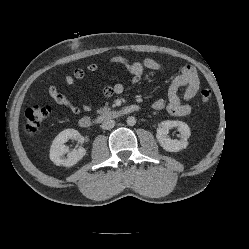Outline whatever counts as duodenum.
Masks as SVG:
<instances>
[{
	"label": "duodenum",
	"instance_id": "duodenum-1",
	"mask_svg": "<svg viewBox=\"0 0 249 249\" xmlns=\"http://www.w3.org/2000/svg\"><path fill=\"white\" fill-rule=\"evenodd\" d=\"M139 110H140V106L138 104H131V105L124 106L123 108L119 110L103 112L99 114L98 116H96L95 118L85 116L79 120V126L82 129H89L102 123L103 121L118 119L123 116H127L129 114L138 112Z\"/></svg>",
	"mask_w": 249,
	"mask_h": 249
}]
</instances>
